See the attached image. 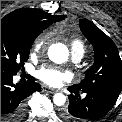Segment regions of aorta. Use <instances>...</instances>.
Listing matches in <instances>:
<instances>
[{"label": "aorta", "mask_w": 122, "mask_h": 122, "mask_svg": "<svg viewBox=\"0 0 122 122\" xmlns=\"http://www.w3.org/2000/svg\"><path fill=\"white\" fill-rule=\"evenodd\" d=\"M48 56L54 63H64L69 56L68 48L62 43L52 44L48 49ZM66 102V96L62 93H56L53 96V103L56 106H63Z\"/></svg>", "instance_id": "762f6f07"}]
</instances>
